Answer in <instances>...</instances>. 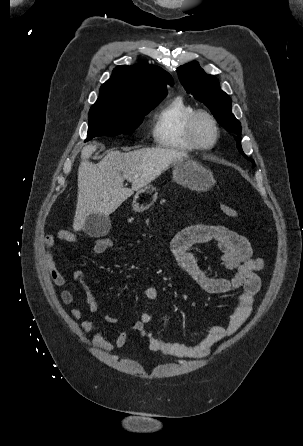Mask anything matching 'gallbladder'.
Returning <instances> with one entry per match:
<instances>
[{"instance_id":"1","label":"gallbladder","mask_w":303,"mask_h":446,"mask_svg":"<svg viewBox=\"0 0 303 446\" xmlns=\"http://www.w3.org/2000/svg\"><path fill=\"white\" fill-rule=\"evenodd\" d=\"M111 228V222L108 217L93 214L86 218L83 230L92 237H101L106 235Z\"/></svg>"}]
</instances>
